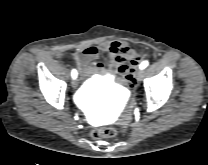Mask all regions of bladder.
<instances>
[{
  "label": "bladder",
  "instance_id": "31cf9c89",
  "mask_svg": "<svg viewBox=\"0 0 208 165\" xmlns=\"http://www.w3.org/2000/svg\"><path fill=\"white\" fill-rule=\"evenodd\" d=\"M112 86H113V81L108 77H100L89 82L84 88L85 97L82 101V104H85L87 102L86 95L87 92L91 89H98L106 97L112 96L114 94V88Z\"/></svg>",
  "mask_w": 208,
  "mask_h": 165
}]
</instances>
